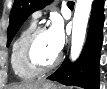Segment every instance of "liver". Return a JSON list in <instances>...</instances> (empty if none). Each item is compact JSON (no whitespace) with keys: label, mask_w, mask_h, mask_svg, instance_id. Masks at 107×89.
Masks as SVG:
<instances>
[{"label":"liver","mask_w":107,"mask_h":89,"mask_svg":"<svg viewBox=\"0 0 107 89\" xmlns=\"http://www.w3.org/2000/svg\"><path fill=\"white\" fill-rule=\"evenodd\" d=\"M49 83H42V82H22L20 84L11 85L9 89H40L43 85H46Z\"/></svg>","instance_id":"obj_1"}]
</instances>
